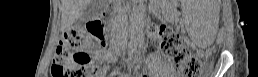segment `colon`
<instances>
[{"label": "colon", "mask_w": 258, "mask_h": 77, "mask_svg": "<svg viewBox=\"0 0 258 77\" xmlns=\"http://www.w3.org/2000/svg\"><path fill=\"white\" fill-rule=\"evenodd\" d=\"M106 35L102 27L89 35L84 34L79 27L65 32L53 58L52 77L91 76L94 61L91 50L98 43L104 45ZM151 36L186 77H200L204 73L205 64L182 45L180 36L171 28L164 24L154 25L151 27Z\"/></svg>", "instance_id": "obj_1"}]
</instances>
